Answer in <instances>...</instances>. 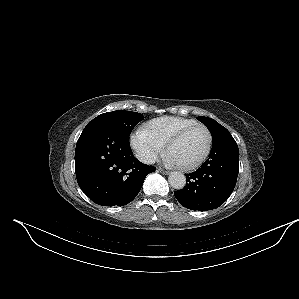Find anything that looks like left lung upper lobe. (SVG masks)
<instances>
[{"instance_id":"1","label":"left lung upper lobe","mask_w":299,"mask_h":299,"mask_svg":"<svg viewBox=\"0 0 299 299\" xmlns=\"http://www.w3.org/2000/svg\"><path fill=\"white\" fill-rule=\"evenodd\" d=\"M197 118L207 126V128L209 129V131L212 134V139L222 133L229 132L224 126L220 125L218 122H216L215 120H213L211 118L202 117V116L197 117Z\"/></svg>"}]
</instances>
